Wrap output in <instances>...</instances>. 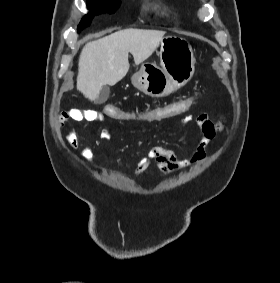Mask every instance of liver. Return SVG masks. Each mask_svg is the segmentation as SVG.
Masks as SVG:
<instances>
[{
  "label": "liver",
  "instance_id": "1",
  "mask_svg": "<svg viewBox=\"0 0 280 283\" xmlns=\"http://www.w3.org/2000/svg\"><path fill=\"white\" fill-rule=\"evenodd\" d=\"M164 31L124 29L87 43L78 63L77 90L91 101L104 85L118 83L129 70L128 53L139 65L158 48Z\"/></svg>",
  "mask_w": 280,
  "mask_h": 283
}]
</instances>
